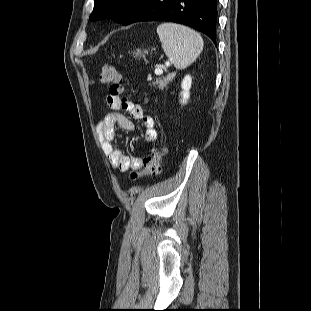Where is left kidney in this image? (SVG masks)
<instances>
[{"label":"left kidney","instance_id":"1","mask_svg":"<svg viewBox=\"0 0 311 311\" xmlns=\"http://www.w3.org/2000/svg\"><path fill=\"white\" fill-rule=\"evenodd\" d=\"M192 79L190 75H186L181 83L182 91L180 93L182 104H186L190 97V88H191Z\"/></svg>","mask_w":311,"mask_h":311}]
</instances>
